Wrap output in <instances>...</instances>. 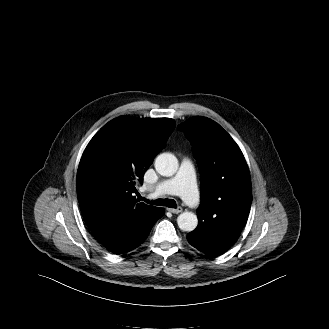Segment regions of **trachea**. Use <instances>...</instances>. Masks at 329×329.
Wrapping results in <instances>:
<instances>
[{"label":"trachea","instance_id":"obj_1","mask_svg":"<svg viewBox=\"0 0 329 329\" xmlns=\"http://www.w3.org/2000/svg\"><path fill=\"white\" fill-rule=\"evenodd\" d=\"M139 198L141 200H144L145 202H148L150 204L157 205V206H166V207H169V208H176L177 207L176 202L173 199H157L155 201L149 202L148 200H145L144 198H142L140 196V194H139Z\"/></svg>","mask_w":329,"mask_h":329}]
</instances>
